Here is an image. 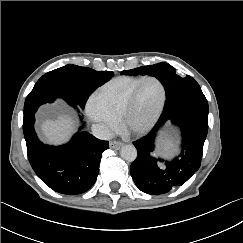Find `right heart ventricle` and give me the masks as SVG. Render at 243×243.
Listing matches in <instances>:
<instances>
[{
	"instance_id": "obj_1",
	"label": "right heart ventricle",
	"mask_w": 243,
	"mask_h": 243,
	"mask_svg": "<svg viewBox=\"0 0 243 243\" xmlns=\"http://www.w3.org/2000/svg\"><path fill=\"white\" fill-rule=\"evenodd\" d=\"M144 76H120L103 84L93 98L110 115L119 118L121 109L130 93Z\"/></svg>"
}]
</instances>
